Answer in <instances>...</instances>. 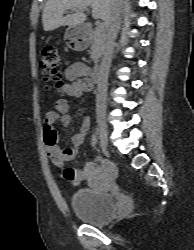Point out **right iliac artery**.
Segmentation results:
<instances>
[{"label": "right iliac artery", "mask_w": 194, "mask_h": 250, "mask_svg": "<svg viewBox=\"0 0 194 250\" xmlns=\"http://www.w3.org/2000/svg\"><path fill=\"white\" fill-rule=\"evenodd\" d=\"M97 143H98V135L94 134L92 137V144H93V146H96Z\"/></svg>", "instance_id": "right-iliac-artery-1"}]
</instances>
